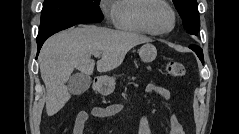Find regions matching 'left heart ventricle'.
<instances>
[{"instance_id": "obj_1", "label": "left heart ventricle", "mask_w": 239, "mask_h": 134, "mask_svg": "<svg viewBox=\"0 0 239 134\" xmlns=\"http://www.w3.org/2000/svg\"><path fill=\"white\" fill-rule=\"evenodd\" d=\"M151 20L157 30L165 31L172 25V14L166 6L156 4L151 10Z\"/></svg>"}]
</instances>
